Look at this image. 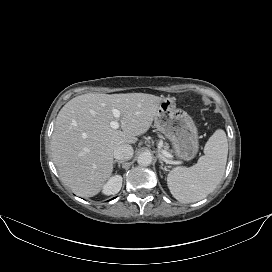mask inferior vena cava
Listing matches in <instances>:
<instances>
[{
  "mask_svg": "<svg viewBox=\"0 0 272 272\" xmlns=\"http://www.w3.org/2000/svg\"><path fill=\"white\" fill-rule=\"evenodd\" d=\"M133 148L131 145L123 144L115 148L113 156L117 160H129L133 156Z\"/></svg>",
  "mask_w": 272,
  "mask_h": 272,
  "instance_id": "1",
  "label": "inferior vena cava"
}]
</instances>
